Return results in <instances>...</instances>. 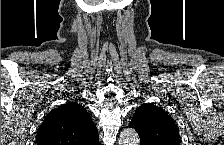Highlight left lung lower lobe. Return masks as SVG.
Listing matches in <instances>:
<instances>
[{
    "mask_svg": "<svg viewBox=\"0 0 224 145\" xmlns=\"http://www.w3.org/2000/svg\"><path fill=\"white\" fill-rule=\"evenodd\" d=\"M140 141H141V145H149V144H147V142L144 141V140H140Z\"/></svg>",
    "mask_w": 224,
    "mask_h": 145,
    "instance_id": "0a47b994",
    "label": "left lung lower lobe"
}]
</instances>
